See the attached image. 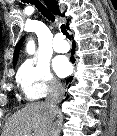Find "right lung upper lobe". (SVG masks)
I'll list each match as a JSON object with an SVG mask.
<instances>
[{"mask_svg": "<svg viewBox=\"0 0 117 136\" xmlns=\"http://www.w3.org/2000/svg\"><path fill=\"white\" fill-rule=\"evenodd\" d=\"M44 3L46 4V6L49 8V10L53 14L64 16V14L60 13L59 6L57 5L56 0H44ZM21 45H22V39L18 42V44L15 48L14 58H13L14 64H16V62H17V58H18V54H19V50H20Z\"/></svg>", "mask_w": 117, "mask_h": 136, "instance_id": "right-lung-upper-lobe-1", "label": "right lung upper lobe"}]
</instances>
